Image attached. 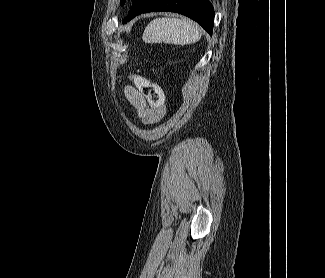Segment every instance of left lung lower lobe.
Returning <instances> with one entry per match:
<instances>
[{"label": "left lung lower lobe", "mask_w": 325, "mask_h": 278, "mask_svg": "<svg viewBox=\"0 0 325 278\" xmlns=\"http://www.w3.org/2000/svg\"><path fill=\"white\" fill-rule=\"evenodd\" d=\"M171 11L183 14L199 23L210 35L214 25V9L209 0H133L123 20L127 23L141 13Z\"/></svg>", "instance_id": "obj_1"}]
</instances>
